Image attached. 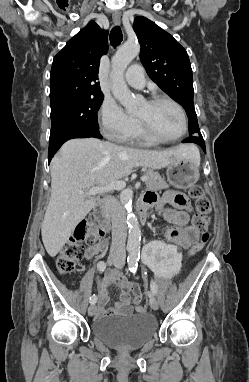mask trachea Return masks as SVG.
I'll return each instance as SVG.
<instances>
[{"instance_id":"3493384b","label":"trachea","mask_w":249,"mask_h":382,"mask_svg":"<svg viewBox=\"0 0 249 382\" xmlns=\"http://www.w3.org/2000/svg\"><path fill=\"white\" fill-rule=\"evenodd\" d=\"M123 39V34L119 26H115L110 32V42L111 45L116 47L118 46Z\"/></svg>"}]
</instances>
